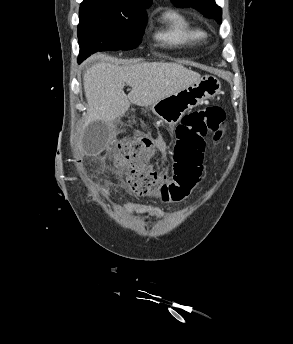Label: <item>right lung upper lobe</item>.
Segmentation results:
<instances>
[{
    "label": "right lung upper lobe",
    "mask_w": 293,
    "mask_h": 344,
    "mask_svg": "<svg viewBox=\"0 0 293 344\" xmlns=\"http://www.w3.org/2000/svg\"><path fill=\"white\" fill-rule=\"evenodd\" d=\"M90 1L101 2L106 5L116 6V7L133 8L145 14H146V11L144 9L148 5H151L152 3V0H84L83 2H90Z\"/></svg>",
    "instance_id": "cb5924a9"
}]
</instances>
